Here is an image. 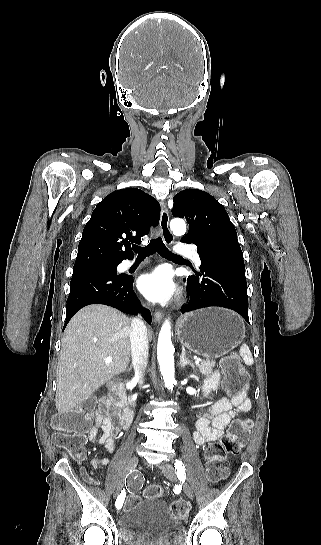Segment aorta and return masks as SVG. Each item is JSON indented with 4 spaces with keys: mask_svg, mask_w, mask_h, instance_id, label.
<instances>
[{
    "mask_svg": "<svg viewBox=\"0 0 321 545\" xmlns=\"http://www.w3.org/2000/svg\"><path fill=\"white\" fill-rule=\"evenodd\" d=\"M170 228L176 235H183L186 232V223L184 220L173 219L170 222ZM174 346L171 341V325L168 320L162 325L158 338L157 356L161 374L165 386L172 390L175 383L174 369Z\"/></svg>",
    "mask_w": 321,
    "mask_h": 545,
    "instance_id": "aorta-1",
    "label": "aorta"
}]
</instances>
